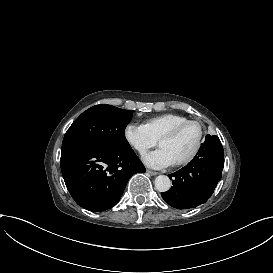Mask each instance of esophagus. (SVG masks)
Here are the masks:
<instances>
[{"instance_id":"obj_1","label":"esophagus","mask_w":273,"mask_h":273,"mask_svg":"<svg viewBox=\"0 0 273 273\" xmlns=\"http://www.w3.org/2000/svg\"><path fill=\"white\" fill-rule=\"evenodd\" d=\"M146 172H147L149 175H152V176L158 175V172H156V171H151V170H149V169H147Z\"/></svg>"}]
</instances>
